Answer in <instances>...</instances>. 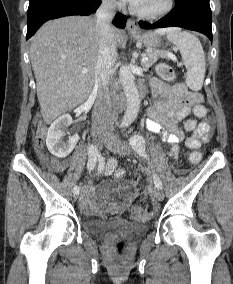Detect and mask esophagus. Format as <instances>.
<instances>
[{
  "label": "esophagus",
  "instance_id": "esophagus-1",
  "mask_svg": "<svg viewBox=\"0 0 233 284\" xmlns=\"http://www.w3.org/2000/svg\"><path fill=\"white\" fill-rule=\"evenodd\" d=\"M126 29L130 33H136L139 31L138 23L132 19H128L126 23Z\"/></svg>",
  "mask_w": 233,
  "mask_h": 284
}]
</instances>
